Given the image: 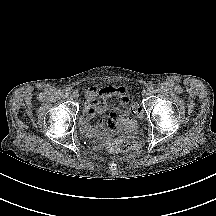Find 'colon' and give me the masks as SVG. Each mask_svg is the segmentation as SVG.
Masks as SVG:
<instances>
[{
    "instance_id": "1",
    "label": "colon",
    "mask_w": 216,
    "mask_h": 216,
    "mask_svg": "<svg viewBox=\"0 0 216 216\" xmlns=\"http://www.w3.org/2000/svg\"><path fill=\"white\" fill-rule=\"evenodd\" d=\"M142 117V108L138 104H133L127 108L126 113L119 117L117 126L133 130L136 127L137 120ZM138 144L130 139H113L108 142L107 149L111 152L129 153L135 150Z\"/></svg>"
}]
</instances>
